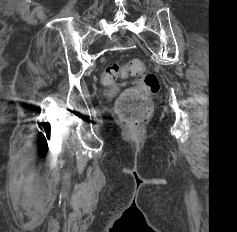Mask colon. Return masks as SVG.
<instances>
[{"instance_id": "obj_1", "label": "colon", "mask_w": 237, "mask_h": 232, "mask_svg": "<svg viewBox=\"0 0 237 232\" xmlns=\"http://www.w3.org/2000/svg\"><path fill=\"white\" fill-rule=\"evenodd\" d=\"M129 75L135 78V84L119 98L116 113L126 126L135 130L152 113L149 97L159 91V81L155 74L145 72V65L139 59H133L123 66L113 63L105 69L101 78L104 84L112 85L117 79Z\"/></svg>"}]
</instances>
